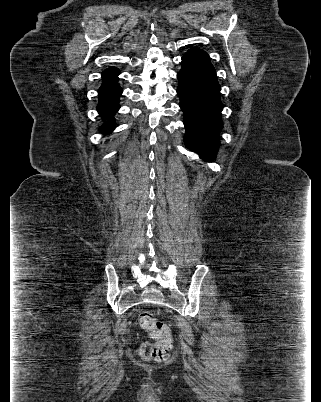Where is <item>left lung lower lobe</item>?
<instances>
[{
    "label": "left lung lower lobe",
    "instance_id": "obj_1",
    "mask_svg": "<svg viewBox=\"0 0 321 402\" xmlns=\"http://www.w3.org/2000/svg\"><path fill=\"white\" fill-rule=\"evenodd\" d=\"M177 78L186 129L184 143L204 161H213L220 145L223 104L209 55L198 48L189 49L182 57Z\"/></svg>",
    "mask_w": 321,
    "mask_h": 402
}]
</instances>
